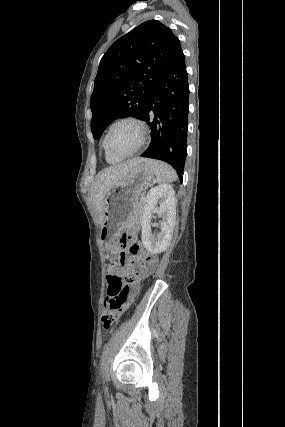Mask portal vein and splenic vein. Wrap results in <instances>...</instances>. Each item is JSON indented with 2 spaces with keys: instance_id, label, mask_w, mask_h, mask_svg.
<instances>
[{
  "instance_id": "1",
  "label": "portal vein and splenic vein",
  "mask_w": 285,
  "mask_h": 427,
  "mask_svg": "<svg viewBox=\"0 0 285 427\" xmlns=\"http://www.w3.org/2000/svg\"><path fill=\"white\" fill-rule=\"evenodd\" d=\"M140 201H141V202H143V201H144V198L142 197V198L140 199Z\"/></svg>"
}]
</instances>
